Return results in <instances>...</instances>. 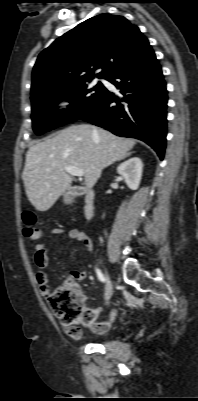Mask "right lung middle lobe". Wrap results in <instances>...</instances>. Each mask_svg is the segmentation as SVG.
Returning <instances> with one entry per match:
<instances>
[{
  "mask_svg": "<svg viewBox=\"0 0 198 401\" xmlns=\"http://www.w3.org/2000/svg\"><path fill=\"white\" fill-rule=\"evenodd\" d=\"M84 81L68 87L39 94L32 100L33 130L40 135L58 126L75 121L87 114L104 93L102 83L90 86ZM68 100V109L57 111V104Z\"/></svg>",
  "mask_w": 198,
  "mask_h": 401,
  "instance_id": "dd1d6c3e",
  "label": "right lung middle lobe"
}]
</instances>
